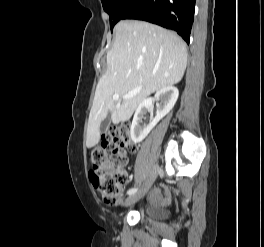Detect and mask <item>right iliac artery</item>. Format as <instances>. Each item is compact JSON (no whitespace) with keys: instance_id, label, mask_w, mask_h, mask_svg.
<instances>
[{"instance_id":"right-iliac-artery-1","label":"right iliac artery","mask_w":264,"mask_h":247,"mask_svg":"<svg viewBox=\"0 0 264 247\" xmlns=\"http://www.w3.org/2000/svg\"><path fill=\"white\" fill-rule=\"evenodd\" d=\"M137 190H138L137 188H132V189L128 190L127 194L132 195V194L136 193Z\"/></svg>"}]
</instances>
